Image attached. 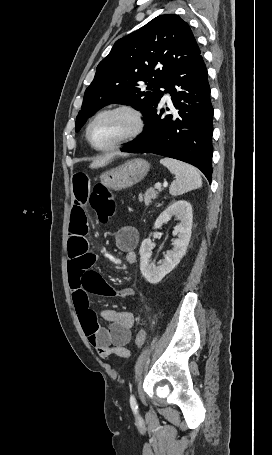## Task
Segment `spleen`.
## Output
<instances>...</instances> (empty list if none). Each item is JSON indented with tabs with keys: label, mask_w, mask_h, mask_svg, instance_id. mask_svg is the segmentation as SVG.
I'll return each instance as SVG.
<instances>
[{
	"label": "spleen",
	"mask_w": 272,
	"mask_h": 455,
	"mask_svg": "<svg viewBox=\"0 0 272 455\" xmlns=\"http://www.w3.org/2000/svg\"><path fill=\"white\" fill-rule=\"evenodd\" d=\"M160 163L175 175V180L169 187L172 196L182 195L202 187V178L193 166L170 158H163Z\"/></svg>",
	"instance_id": "obj_1"
}]
</instances>
